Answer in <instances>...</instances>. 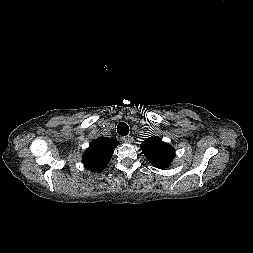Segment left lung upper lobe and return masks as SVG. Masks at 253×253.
<instances>
[{
	"label": "left lung upper lobe",
	"instance_id": "1",
	"mask_svg": "<svg viewBox=\"0 0 253 253\" xmlns=\"http://www.w3.org/2000/svg\"><path fill=\"white\" fill-rule=\"evenodd\" d=\"M140 147L147 160L160 169L168 167L175 156L174 149L158 137L147 138Z\"/></svg>",
	"mask_w": 253,
	"mask_h": 253
}]
</instances>
